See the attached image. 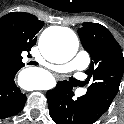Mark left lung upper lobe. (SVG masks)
Listing matches in <instances>:
<instances>
[{"instance_id":"1","label":"left lung upper lobe","mask_w":124,"mask_h":124,"mask_svg":"<svg viewBox=\"0 0 124 124\" xmlns=\"http://www.w3.org/2000/svg\"><path fill=\"white\" fill-rule=\"evenodd\" d=\"M83 48L91 56L85 72L91 80L85 99L92 115L98 120L116 96L124 71V58L118 42L110 31L98 23H84L78 29Z\"/></svg>"}]
</instances>
